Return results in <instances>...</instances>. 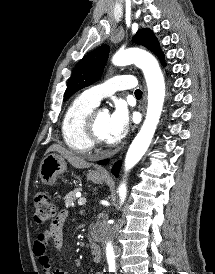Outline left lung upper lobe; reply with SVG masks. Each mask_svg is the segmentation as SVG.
Returning a JSON list of instances; mask_svg holds the SVG:
<instances>
[{"label":"left lung upper lobe","instance_id":"1","mask_svg":"<svg viewBox=\"0 0 215 274\" xmlns=\"http://www.w3.org/2000/svg\"><path fill=\"white\" fill-rule=\"evenodd\" d=\"M133 41L154 52L164 64V56L159 48V42L149 28L139 29L134 35ZM108 54L109 47L102 45L80 60L71 75L64 94V101L76 91L91 85L99 79L107 61Z\"/></svg>","mask_w":215,"mask_h":274}]
</instances>
